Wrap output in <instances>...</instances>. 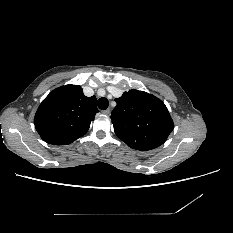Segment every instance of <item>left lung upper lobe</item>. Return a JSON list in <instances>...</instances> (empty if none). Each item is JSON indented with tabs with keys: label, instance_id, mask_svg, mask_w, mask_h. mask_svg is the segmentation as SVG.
Listing matches in <instances>:
<instances>
[{
	"label": "left lung upper lobe",
	"instance_id": "obj_1",
	"mask_svg": "<svg viewBox=\"0 0 233 233\" xmlns=\"http://www.w3.org/2000/svg\"><path fill=\"white\" fill-rule=\"evenodd\" d=\"M110 116L115 134L129 147L147 151L162 145L174 128L165 104L143 91L129 90L115 99Z\"/></svg>",
	"mask_w": 233,
	"mask_h": 233
}]
</instances>
